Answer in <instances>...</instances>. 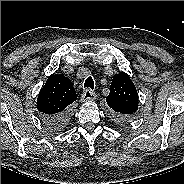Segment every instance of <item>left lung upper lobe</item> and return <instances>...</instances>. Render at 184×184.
I'll return each instance as SVG.
<instances>
[{
	"label": "left lung upper lobe",
	"mask_w": 184,
	"mask_h": 184,
	"mask_svg": "<svg viewBox=\"0 0 184 184\" xmlns=\"http://www.w3.org/2000/svg\"><path fill=\"white\" fill-rule=\"evenodd\" d=\"M110 93L106 98L108 106L113 110L114 116L119 120H132L137 117L138 93L125 72L113 77Z\"/></svg>",
	"instance_id": "5c2ea615"
}]
</instances>
